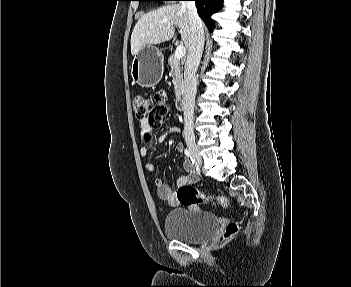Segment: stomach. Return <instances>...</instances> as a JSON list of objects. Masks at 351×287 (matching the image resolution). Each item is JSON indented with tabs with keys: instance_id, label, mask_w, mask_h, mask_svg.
Here are the masks:
<instances>
[{
	"instance_id": "1",
	"label": "stomach",
	"mask_w": 351,
	"mask_h": 287,
	"mask_svg": "<svg viewBox=\"0 0 351 287\" xmlns=\"http://www.w3.org/2000/svg\"><path fill=\"white\" fill-rule=\"evenodd\" d=\"M164 55L153 45H145L134 56L131 64V76L142 87H153L162 79Z\"/></svg>"
}]
</instances>
